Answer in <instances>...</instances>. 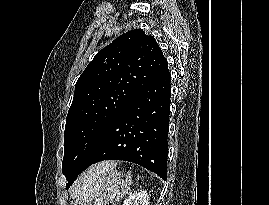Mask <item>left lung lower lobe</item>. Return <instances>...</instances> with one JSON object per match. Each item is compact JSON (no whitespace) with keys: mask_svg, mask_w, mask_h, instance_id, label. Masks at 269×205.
<instances>
[{"mask_svg":"<svg viewBox=\"0 0 269 205\" xmlns=\"http://www.w3.org/2000/svg\"><path fill=\"white\" fill-rule=\"evenodd\" d=\"M170 79L167 64L107 126L76 168L73 182L82 171L102 160L133 162L167 179Z\"/></svg>","mask_w":269,"mask_h":205,"instance_id":"left-lung-lower-lobe-1","label":"left lung lower lobe"}]
</instances>
